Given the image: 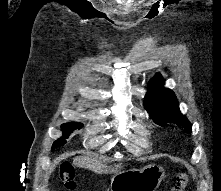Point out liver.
<instances>
[{"label": "liver", "instance_id": "1", "mask_svg": "<svg viewBox=\"0 0 221 191\" xmlns=\"http://www.w3.org/2000/svg\"><path fill=\"white\" fill-rule=\"evenodd\" d=\"M73 162L75 165L79 167L87 168L97 173H100V172L115 173L118 171V168L121 167V165L119 164L115 165V167L113 168L108 167L107 165H104L101 161H99L98 159L93 158L90 154H88L87 156L75 157Z\"/></svg>", "mask_w": 221, "mask_h": 191}]
</instances>
